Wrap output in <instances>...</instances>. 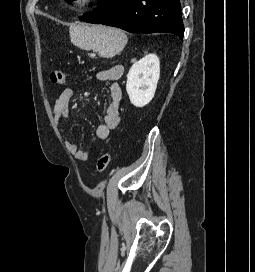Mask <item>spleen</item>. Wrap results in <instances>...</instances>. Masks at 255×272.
Returning a JSON list of instances; mask_svg holds the SVG:
<instances>
[{
  "mask_svg": "<svg viewBox=\"0 0 255 272\" xmlns=\"http://www.w3.org/2000/svg\"><path fill=\"white\" fill-rule=\"evenodd\" d=\"M71 42L85 50H93L101 57L110 58L120 53L127 44L121 29L102 25L74 24L69 28Z\"/></svg>",
  "mask_w": 255,
  "mask_h": 272,
  "instance_id": "spleen-1",
  "label": "spleen"
}]
</instances>
